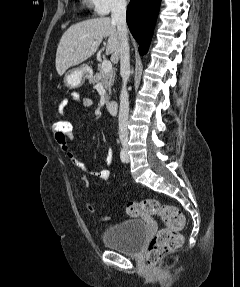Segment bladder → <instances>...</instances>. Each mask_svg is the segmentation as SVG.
Returning a JSON list of instances; mask_svg holds the SVG:
<instances>
[{
    "label": "bladder",
    "mask_w": 240,
    "mask_h": 287,
    "mask_svg": "<svg viewBox=\"0 0 240 287\" xmlns=\"http://www.w3.org/2000/svg\"><path fill=\"white\" fill-rule=\"evenodd\" d=\"M149 231L141 219L127 220L106 228L103 242L106 247L127 255H138L147 240Z\"/></svg>",
    "instance_id": "bladder-1"
}]
</instances>
